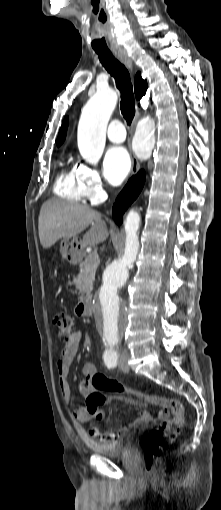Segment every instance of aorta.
I'll use <instances>...</instances> for the list:
<instances>
[{"label": "aorta", "mask_w": 221, "mask_h": 510, "mask_svg": "<svg viewBox=\"0 0 221 510\" xmlns=\"http://www.w3.org/2000/svg\"><path fill=\"white\" fill-rule=\"evenodd\" d=\"M117 104V94L111 88L98 89L82 110L78 125V148L81 156L96 165L105 147L106 128ZM155 121L150 116L139 121L133 138V150L140 159H148L154 147ZM140 215L132 209L124 222L126 240L124 253L104 270L101 284L93 300L94 315L104 342L110 348L118 346L127 325V312L120 290L127 282L129 267L138 250Z\"/></svg>", "instance_id": "762f6f07"}]
</instances>
